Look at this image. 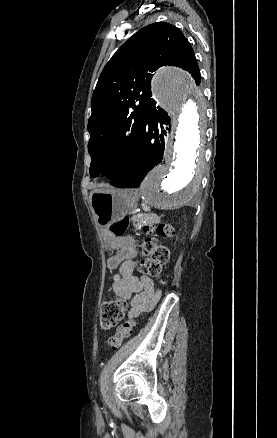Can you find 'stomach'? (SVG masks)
I'll return each mask as SVG.
<instances>
[{
    "label": "stomach",
    "instance_id": "1",
    "mask_svg": "<svg viewBox=\"0 0 277 438\" xmlns=\"http://www.w3.org/2000/svg\"><path fill=\"white\" fill-rule=\"evenodd\" d=\"M90 203L101 227L105 248L109 251L120 250L118 255L108 260V267L113 269L124 260L129 241L127 238L115 236L108 228L137 208L136 198L128 189H106L93 192Z\"/></svg>",
    "mask_w": 277,
    "mask_h": 438
}]
</instances>
